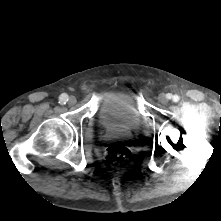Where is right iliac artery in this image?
Masks as SVG:
<instances>
[{
    "mask_svg": "<svg viewBox=\"0 0 221 221\" xmlns=\"http://www.w3.org/2000/svg\"><path fill=\"white\" fill-rule=\"evenodd\" d=\"M67 101H68V95L65 93L61 94L59 97V103L63 105L66 104Z\"/></svg>",
    "mask_w": 221,
    "mask_h": 221,
    "instance_id": "right-iliac-artery-1",
    "label": "right iliac artery"
}]
</instances>
